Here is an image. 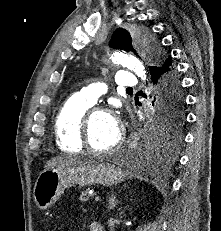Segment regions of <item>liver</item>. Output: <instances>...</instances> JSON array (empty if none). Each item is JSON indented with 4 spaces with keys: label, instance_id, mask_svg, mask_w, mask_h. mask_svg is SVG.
<instances>
[{
    "label": "liver",
    "instance_id": "obj_1",
    "mask_svg": "<svg viewBox=\"0 0 221 231\" xmlns=\"http://www.w3.org/2000/svg\"><path fill=\"white\" fill-rule=\"evenodd\" d=\"M82 163H93V161L82 159L80 157L57 156L46 163L45 170H51L56 167L73 166Z\"/></svg>",
    "mask_w": 221,
    "mask_h": 231
}]
</instances>
